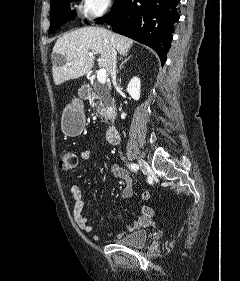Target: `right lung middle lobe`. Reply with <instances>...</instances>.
Instances as JSON below:
<instances>
[{"mask_svg":"<svg viewBox=\"0 0 240 281\" xmlns=\"http://www.w3.org/2000/svg\"><path fill=\"white\" fill-rule=\"evenodd\" d=\"M72 1L73 0H51V24L49 28V33H53L62 24L74 18V11L70 10V2Z\"/></svg>","mask_w":240,"mask_h":281,"instance_id":"1","label":"right lung middle lobe"}]
</instances>
